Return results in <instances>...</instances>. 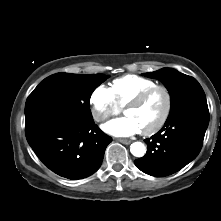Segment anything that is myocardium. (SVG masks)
<instances>
[{
  "label": "myocardium",
  "mask_w": 221,
  "mask_h": 221,
  "mask_svg": "<svg viewBox=\"0 0 221 221\" xmlns=\"http://www.w3.org/2000/svg\"><path fill=\"white\" fill-rule=\"evenodd\" d=\"M158 90L163 91L165 94L166 107H165L162 117L160 118L157 124H155L153 127L149 129L142 130V134L146 136L154 135L157 132H159L167 123L170 117V114L172 111V95L168 87H166L165 85H161V84H156L154 86H151L148 89L144 90L139 95H137L135 98H133L124 106V113H126L128 109L134 108L143 104L154 92Z\"/></svg>",
  "instance_id": "f54148a6"
}]
</instances>
